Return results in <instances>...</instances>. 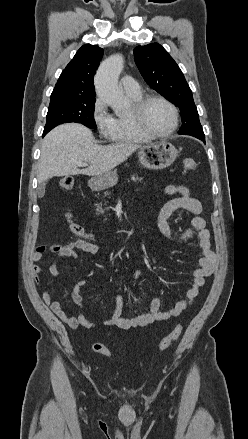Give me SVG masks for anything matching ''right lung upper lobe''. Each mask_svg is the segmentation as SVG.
<instances>
[{
  "label": "right lung upper lobe",
  "instance_id": "obj_1",
  "mask_svg": "<svg viewBox=\"0 0 248 439\" xmlns=\"http://www.w3.org/2000/svg\"><path fill=\"white\" fill-rule=\"evenodd\" d=\"M102 56L103 49L97 45H83L62 71L51 97L95 96L93 78Z\"/></svg>",
  "mask_w": 248,
  "mask_h": 439
}]
</instances>
